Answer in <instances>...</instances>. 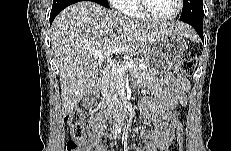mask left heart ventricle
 <instances>
[{"label": "left heart ventricle", "instance_id": "1", "mask_svg": "<svg viewBox=\"0 0 231 151\" xmlns=\"http://www.w3.org/2000/svg\"><path fill=\"white\" fill-rule=\"evenodd\" d=\"M146 9L154 17H167L175 12L176 0H146Z\"/></svg>", "mask_w": 231, "mask_h": 151}]
</instances>
